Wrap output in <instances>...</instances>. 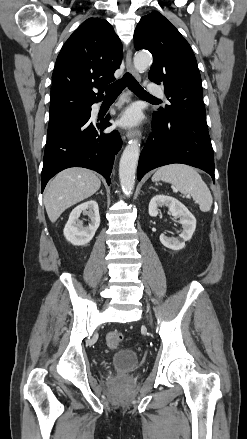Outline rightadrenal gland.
Listing matches in <instances>:
<instances>
[{
  "mask_svg": "<svg viewBox=\"0 0 247 439\" xmlns=\"http://www.w3.org/2000/svg\"><path fill=\"white\" fill-rule=\"evenodd\" d=\"M98 194H101V195H103L102 189L100 190V192H99V193H96V195H98Z\"/></svg>",
  "mask_w": 247,
  "mask_h": 439,
  "instance_id": "2a0ac1e0",
  "label": "right adrenal gland"
}]
</instances>
